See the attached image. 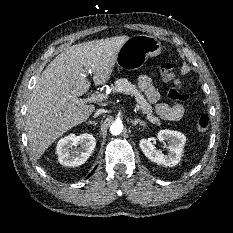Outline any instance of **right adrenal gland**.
<instances>
[{
    "mask_svg": "<svg viewBox=\"0 0 233 233\" xmlns=\"http://www.w3.org/2000/svg\"><path fill=\"white\" fill-rule=\"evenodd\" d=\"M86 124H93V125H96L97 123H96L95 121L90 120V121H88Z\"/></svg>",
    "mask_w": 233,
    "mask_h": 233,
    "instance_id": "1",
    "label": "right adrenal gland"
}]
</instances>
